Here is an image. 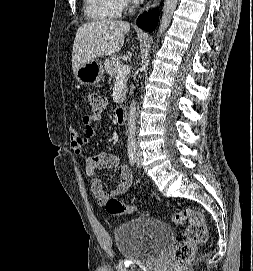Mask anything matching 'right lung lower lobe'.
<instances>
[{"instance_id": "98d812e1", "label": "right lung lower lobe", "mask_w": 253, "mask_h": 271, "mask_svg": "<svg viewBox=\"0 0 253 271\" xmlns=\"http://www.w3.org/2000/svg\"><path fill=\"white\" fill-rule=\"evenodd\" d=\"M158 23V12L152 11L150 14L144 13L137 19V25L149 32L155 30Z\"/></svg>"}]
</instances>
